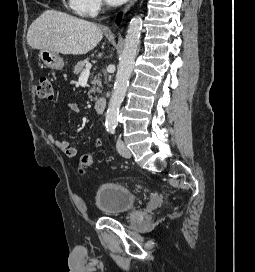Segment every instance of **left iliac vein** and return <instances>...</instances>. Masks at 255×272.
<instances>
[{
    "instance_id": "4c4485c4",
    "label": "left iliac vein",
    "mask_w": 255,
    "mask_h": 272,
    "mask_svg": "<svg viewBox=\"0 0 255 272\" xmlns=\"http://www.w3.org/2000/svg\"><path fill=\"white\" fill-rule=\"evenodd\" d=\"M116 146H117V150L120 155H122L123 157H126V158L131 157L130 150L126 147V145L124 144V142L121 139L117 140Z\"/></svg>"
}]
</instances>
